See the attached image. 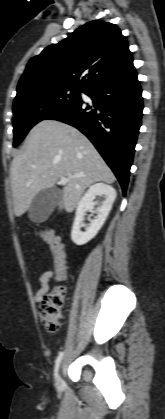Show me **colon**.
<instances>
[{
  "mask_svg": "<svg viewBox=\"0 0 165 419\" xmlns=\"http://www.w3.org/2000/svg\"><path fill=\"white\" fill-rule=\"evenodd\" d=\"M42 234L49 244L53 255L56 282L59 284L64 283L68 278V271L61 239L51 231H44ZM64 297V287L59 285L46 294L39 305V316L48 332H56L60 328V322L64 313Z\"/></svg>",
  "mask_w": 165,
  "mask_h": 419,
  "instance_id": "obj_1",
  "label": "colon"
}]
</instances>
